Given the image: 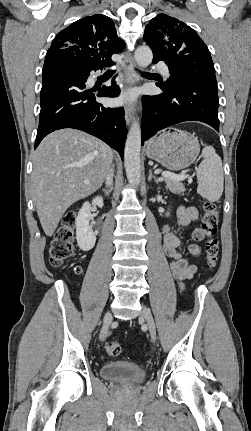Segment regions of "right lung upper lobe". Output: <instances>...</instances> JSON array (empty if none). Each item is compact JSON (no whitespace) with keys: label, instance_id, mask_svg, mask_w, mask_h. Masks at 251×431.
Listing matches in <instances>:
<instances>
[{"label":"right lung upper lobe","instance_id":"1","mask_svg":"<svg viewBox=\"0 0 251 431\" xmlns=\"http://www.w3.org/2000/svg\"><path fill=\"white\" fill-rule=\"evenodd\" d=\"M124 47L111 18L102 14L87 16L57 34L47 51L44 67L70 60L102 69L113 65L112 54L122 52Z\"/></svg>","mask_w":251,"mask_h":431}]
</instances>
